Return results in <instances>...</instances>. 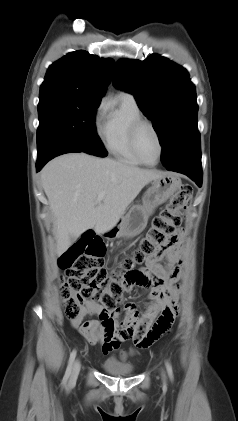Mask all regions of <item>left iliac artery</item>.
<instances>
[{
	"label": "left iliac artery",
	"instance_id": "44dca946",
	"mask_svg": "<svg viewBox=\"0 0 238 421\" xmlns=\"http://www.w3.org/2000/svg\"><path fill=\"white\" fill-rule=\"evenodd\" d=\"M165 365H166V369H167V372H168V375H169L170 379L173 380V371H172V367H171L170 363L168 361H166Z\"/></svg>",
	"mask_w": 238,
	"mask_h": 421
}]
</instances>
